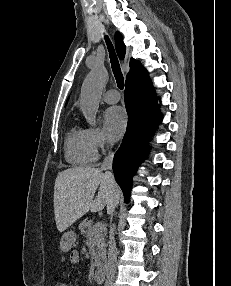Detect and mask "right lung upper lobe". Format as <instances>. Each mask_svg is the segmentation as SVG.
Returning a JSON list of instances; mask_svg holds the SVG:
<instances>
[{
	"label": "right lung upper lobe",
	"instance_id": "cb5924a9",
	"mask_svg": "<svg viewBox=\"0 0 231 286\" xmlns=\"http://www.w3.org/2000/svg\"><path fill=\"white\" fill-rule=\"evenodd\" d=\"M115 42H116L117 54H118L120 59H123L125 56V53H126V47L123 43L122 36L119 32H116V34H115ZM145 72H146V70L144 68H142L136 60L131 59L130 60V72L126 78V81H128L129 79H131L137 75L145 73Z\"/></svg>",
	"mask_w": 231,
	"mask_h": 286
}]
</instances>
